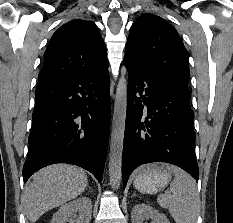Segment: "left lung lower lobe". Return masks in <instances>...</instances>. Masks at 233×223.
<instances>
[{
  "mask_svg": "<svg viewBox=\"0 0 233 223\" xmlns=\"http://www.w3.org/2000/svg\"><path fill=\"white\" fill-rule=\"evenodd\" d=\"M124 64L129 81L123 187L137 166L157 161L179 166L198 181L190 91L155 76L128 54Z\"/></svg>",
  "mask_w": 233,
  "mask_h": 223,
  "instance_id": "obj_1",
  "label": "left lung lower lobe"
}]
</instances>
